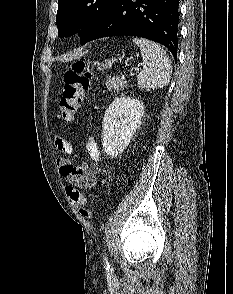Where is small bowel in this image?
Listing matches in <instances>:
<instances>
[{
    "label": "small bowel",
    "instance_id": "1",
    "mask_svg": "<svg viewBox=\"0 0 233 294\" xmlns=\"http://www.w3.org/2000/svg\"><path fill=\"white\" fill-rule=\"evenodd\" d=\"M55 146L63 153L69 154L72 152V145L62 139H55ZM87 152L92 159V163L75 164L72 161L64 158L58 159L60 174L67 180L72 187L90 188L97 183L100 173V152L97 143L89 138L86 143Z\"/></svg>",
    "mask_w": 233,
    "mask_h": 294
}]
</instances>
